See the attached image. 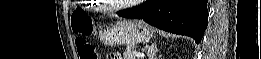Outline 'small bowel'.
I'll return each mask as SVG.
<instances>
[{
	"label": "small bowel",
	"mask_w": 261,
	"mask_h": 59,
	"mask_svg": "<svg viewBox=\"0 0 261 59\" xmlns=\"http://www.w3.org/2000/svg\"><path fill=\"white\" fill-rule=\"evenodd\" d=\"M111 58H118V56H111Z\"/></svg>",
	"instance_id": "c3829d8e"
}]
</instances>
